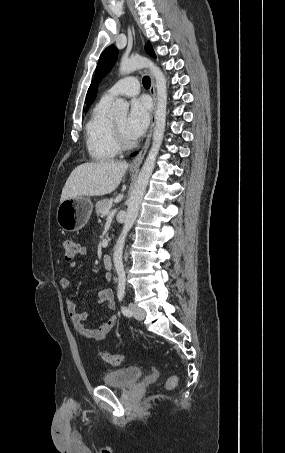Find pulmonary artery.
<instances>
[{
    "mask_svg": "<svg viewBox=\"0 0 285 453\" xmlns=\"http://www.w3.org/2000/svg\"><path fill=\"white\" fill-rule=\"evenodd\" d=\"M139 93V81L134 76L125 77L116 82L102 96V99L112 102L119 96H134Z\"/></svg>",
    "mask_w": 285,
    "mask_h": 453,
    "instance_id": "e3ab8cb5",
    "label": "pulmonary artery"
}]
</instances>
